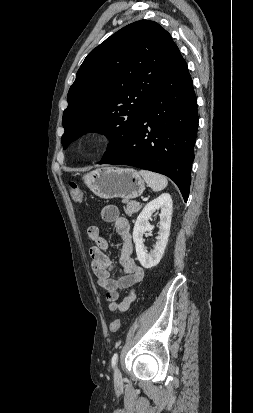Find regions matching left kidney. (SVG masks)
I'll return each mask as SVG.
<instances>
[{
	"instance_id": "5707ae66",
	"label": "left kidney",
	"mask_w": 253,
	"mask_h": 413,
	"mask_svg": "<svg viewBox=\"0 0 253 413\" xmlns=\"http://www.w3.org/2000/svg\"><path fill=\"white\" fill-rule=\"evenodd\" d=\"M172 205L170 194H161L158 198L149 202L137 217L133 229V241L135 243L137 258L140 264L146 269L156 266L164 254L170 234ZM159 209H161L159 214V236L154 249L148 253L144 246L143 235L145 232L151 231L154 228L148 223V220L152 214Z\"/></svg>"
}]
</instances>
